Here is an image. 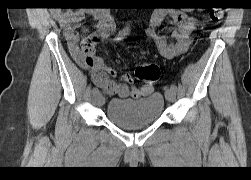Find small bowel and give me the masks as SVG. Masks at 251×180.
<instances>
[{
	"label": "small bowel",
	"mask_w": 251,
	"mask_h": 180,
	"mask_svg": "<svg viewBox=\"0 0 251 180\" xmlns=\"http://www.w3.org/2000/svg\"><path fill=\"white\" fill-rule=\"evenodd\" d=\"M85 15L93 19L91 29H84V36H80L74 23L80 21ZM171 17L172 23L177 26L169 37L161 34L158 28L165 17ZM58 22L64 31L69 51L73 59L83 68L91 71L93 83L108 95L120 98H141L153 92V86H135L129 74H122L116 80L117 71L107 65L103 59L95 55L96 45L109 37L114 31V21L110 14L103 9H86L60 13ZM198 23L197 18L177 9L159 8L151 17L148 34L155 41L160 54L172 59L185 51L191 45L192 32Z\"/></svg>",
	"instance_id": "c3829d8e"
}]
</instances>
